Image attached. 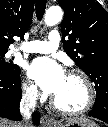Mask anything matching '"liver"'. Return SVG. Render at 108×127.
<instances>
[{
    "mask_svg": "<svg viewBox=\"0 0 108 127\" xmlns=\"http://www.w3.org/2000/svg\"><path fill=\"white\" fill-rule=\"evenodd\" d=\"M80 122L83 124H93L95 125V123H93L92 121L88 120L87 118H74V119H70L69 122ZM0 127H22L21 123H17V122H13L10 120H6V119H0Z\"/></svg>",
    "mask_w": 108,
    "mask_h": 127,
    "instance_id": "obj_1",
    "label": "liver"
}]
</instances>
